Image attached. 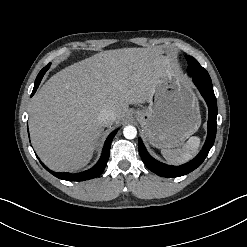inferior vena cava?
Masks as SVG:
<instances>
[{
  "mask_svg": "<svg viewBox=\"0 0 247 247\" xmlns=\"http://www.w3.org/2000/svg\"><path fill=\"white\" fill-rule=\"evenodd\" d=\"M115 119L116 114L109 109L102 110L98 115V121L104 127L112 125L115 122Z\"/></svg>",
  "mask_w": 247,
  "mask_h": 247,
  "instance_id": "602c4592",
  "label": "inferior vena cava"
}]
</instances>
